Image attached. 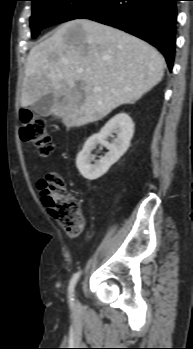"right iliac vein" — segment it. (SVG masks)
I'll use <instances>...</instances> for the list:
<instances>
[{
    "mask_svg": "<svg viewBox=\"0 0 193 349\" xmlns=\"http://www.w3.org/2000/svg\"><path fill=\"white\" fill-rule=\"evenodd\" d=\"M78 305H79V303H78V301L76 300V301H75V306L78 307Z\"/></svg>",
    "mask_w": 193,
    "mask_h": 349,
    "instance_id": "1",
    "label": "right iliac vein"
}]
</instances>
